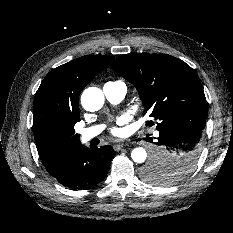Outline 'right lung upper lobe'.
<instances>
[{
    "instance_id": "cb5924a9",
    "label": "right lung upper lobe",
    "mask_w": 233,
    "mask_h": 233,
    "mask_svg": "<svg viewBox=\"0 0 233 233\" xmlns=\"http://www.w3.org/2000/svg\"><path fill=\"white\" fill-rule=\"evenodd\" d=\"M113 59L111 56L87 55L46 75L35 94L33 108V133L41 158L53 152L52 145L58 137L78 135L74 125L80 121L79 95Z\"/></svg>"
}]
</instances>
